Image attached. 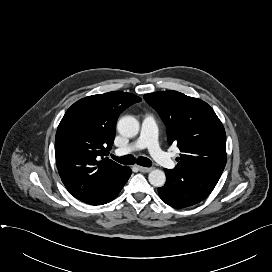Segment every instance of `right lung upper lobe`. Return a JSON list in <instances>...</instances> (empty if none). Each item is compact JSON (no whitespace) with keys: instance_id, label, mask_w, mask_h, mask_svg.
I'll return each instance as SVG.
<instances>
[{"instance_id":"right-lung-upper-lobe-1","label":"right lung upper lobe","mask_w":272,"mask_h":272,"mask_svg":"<svg viewBox=\"0 0 272 272\" xmlns=\"http://www.w3.org/2000/svg\"><path fill=\"white\" fill-rule=\"evenodd\" d=\"M141 98L113 91L74 103L62 118L55 137L61 180L77 199H89L119 181L128 169L108 158L119 115Z\"/></svg>"}]
</instances>
